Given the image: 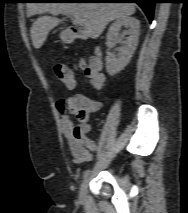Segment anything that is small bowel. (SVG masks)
<instances>
[{"label": "small bowel", "instance_id": "c3829d8e", "mask_svg": "<svg viewBox=\"0 0 188 213\" xmlns=\"http://www.w3.org/2000/svg\"><path fill=\"white\" fill-rule=\"evenodd\" d=\"M102 106L99 99L86 95H75L58 102V110L62 115V124L65 136L69 140L72 159L78 164L90 162L93 153L97 151V144L89 139V115L97 112ZM69 114H76L78 124L74 125Z\"/></svg>", "mask_w": 188, "mask_h": 213}]
</instances>
